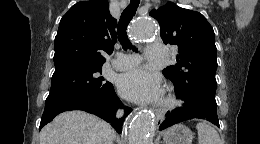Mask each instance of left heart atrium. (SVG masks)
I'll return each mask as SVG.
<instances>
[{"mask_svg": "<svg viewBox=\"0 0 260 144\" xmlns=\"http://www.w3.org/2000/svg\"><path fill=\"white\" fill-rule=\"evenodd\" d=\"M119 91L127 99L136 103H155L163 95L161 79L144 69H134L119 78Z\"/></svg>", "mask_w": 260, "mask_h": 144, "instance_id": "39dd6f15", "label": "left heart atrium"}]
</instances>
